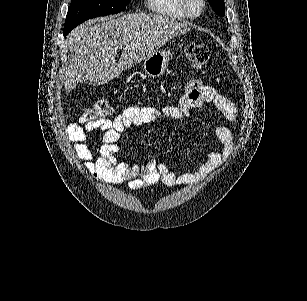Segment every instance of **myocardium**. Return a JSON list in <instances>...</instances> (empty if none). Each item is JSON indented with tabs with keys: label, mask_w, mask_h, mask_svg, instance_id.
Returning a JSON list of instances; mask_svg holds the SVG:
<instances>
[{
	"label": "myocardium",
	"mask_w": 307,
	"mask_h": 301,
	"mask_svg": "<svg viewBox=\"0 0 307 301\" xmlns=\"http://www.w3.org/2000/svg\"><path fill=\"white\" fill-rule=\"evenodd\" d=\"M179 5L182 8L181 14L186 17H191L194 20V16H200L203 12V7L206 6L205 0H181Z\"/></svg>",
	"instance_id": "f54148a6"
}]
</instances>
